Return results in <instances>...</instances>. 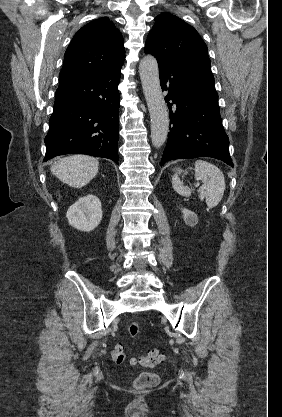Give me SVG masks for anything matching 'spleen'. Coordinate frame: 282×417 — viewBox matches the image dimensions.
I'll use <instances>...</instances> for the list:
<instances>
[{"instance_id":"obj_1","label":"spleen","mask_w":282,"mask_h":417,"mask_svg":"<svg viewBox=\"0 0 282 417\" xmlns=\"http://www.w3.org/2000/svg\"><path fill=\"white\" fill-rule=\"evenodd\" d=\"M194 166L196 180H203L202 186L198 188V196L201 200L206 198L208 209H213V206H217L223 198L226 186L224 174L218 166L207 160H196ZM172 184L178 194L190 196L191 188L184 186L177 174L172 176Z\"/></svg>"}]
</instances>
